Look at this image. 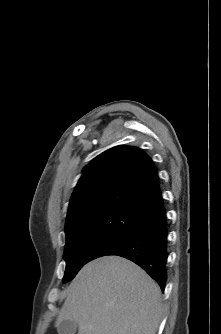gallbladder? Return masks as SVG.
Wrapping results in <instances>:
<instances>
[{
	"mask_svg": "<svg viewBox=\"0 0 221 334\" xmlns=\"http://www.w3.org/2000/svg\"><path fill=\"white\" fill-rule=\"evenodd\" d=\"M77 329V324L71 320L62 321L58 327V334H75Z\"/></svg>",
	"mask_w": 221,
	"mask_h": 334,
	"instance_id": "gallbladder-1",
	"label": "gallbladder"
}]
</instances>
